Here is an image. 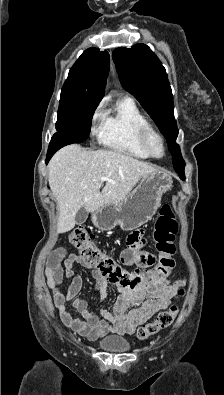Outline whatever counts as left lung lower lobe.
<instances>
[{
    "label": "left lung lower lobe",
    "instance_id": "left-lung-lower-lobe-1",
    "mask_svg": "<svg viewBox=\"0 0 224 395\" xmlns=\"http://www.w3.org/2000/svg\"><path fill=\"white\" fill-rule=\"evenodd\" d=\"M184 167H185V162H181L179 165H176L174 167V169L176 170V172L179 174V176L181 177V179H184Z\"/></svg>",
    "mask_w": 224,
    "mask_h": 395
}]
</instances>
